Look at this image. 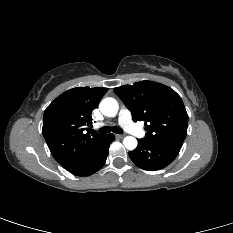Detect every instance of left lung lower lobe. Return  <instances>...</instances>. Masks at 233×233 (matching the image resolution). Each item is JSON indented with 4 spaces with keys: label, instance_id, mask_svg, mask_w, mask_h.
<instances>
[{
    "label": "left lung lower lobe",
    "instance_id": "0a47b994",
    "mask_svg": "<svg viewBox=\"0 0 233 233\" xmlns=\"http://www.w3.org/2000/svg\"><path fill=\"white\" fill-rule=\"evenodd\" d=\"M182 144L177 141L154 142L140 139L137 148L129 152V156L135 165L144 170H160L176 158Z\"/></svg>",
    "mask_w": 233,
    "mask_h": 233
}]
</instances>
